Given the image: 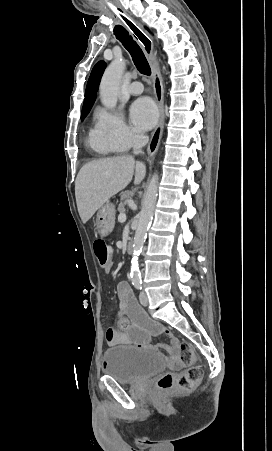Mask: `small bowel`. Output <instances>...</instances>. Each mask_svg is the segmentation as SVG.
<instances>
[{"instance_id": "small-bowel-1", "label": "small bowel", "mask_w": 272, "mask_h": 451, "mask_svg": "<svg viewBox=\"0 0 272 451\" xmlns=\"http://www.w3.org/2000/svg\"><path fill=\"white\" fill-rule=\"evenodd\" d=\"M113 263L110 262L105 270L108 272L112 269ZM116 295L119 300V314L130 321L125 331H120L115 328H110V332L117 334V344H133L138 348L148 349L150 351L159 352L160 349L168 351L170 344L178 342L177 338L172 335V332L157 322L151 320L137 303L130 285L121 281L117 284ZM162 332L170 338V344L159 343L152 344L149 340L150 332ZM109 344H114L113 341L107 339Z\"/></svg>"}]
</instances>
